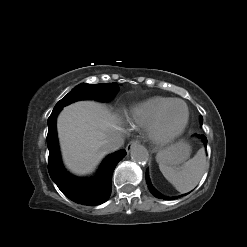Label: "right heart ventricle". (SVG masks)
Listing matches in <instances>:
<instances>
[{"mask_svg":"<svg viewBox=\"0 0 247 247\" xmlns=\"http://www.w3.org/2000/svg\"><path fill=\"white\" fill-rule=\"evenodd\" d=\"M172 98L155 96L135 105L129 114L131 123L138 127L148 128L159 110Z\"/></svg>","mask_w":247,"mask_h":247,"instance_id":"1","label":"right heart ventricle"}]
</instances>
